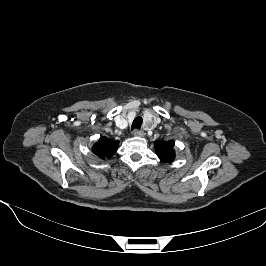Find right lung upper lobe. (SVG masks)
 <instances>
[{"label":"right lung upper lobe","mask_w":266,"mask_h":266,"mask_svg":"<svg viewBox=\"0 0 266 266\" xmlns=\"http://www.w3.org/2000/svg\"><path fill=\"white\" fill-rule=\"evenodd\" d=\"M118 141L102 137L94 144L93 152L101 159L110 158L118 149Z\"/></svg>","instance_id":"right-lung-upper-lobe-1"}]
</instances>
